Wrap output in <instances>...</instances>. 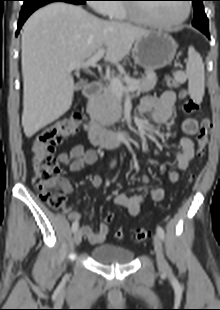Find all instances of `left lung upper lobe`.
<instances>
[{
  "label": "left lung upper lobe",
  "instance_id": "obj_1",
  "mask_svg": "<svg viewBox=\"0 0 220 310\" xmlns=\"http://www.w3.org/2000/svg\"><path fill=\"white\" fill-rule=\"evenodd\" d=\"M194 5V20L193 26L199 29L201 32L208 31V19L204 12L203 1L204 0H191Z\"/></svg>",
  "mask_w": 220,
  "mask_h": 310
}]
</instances>
